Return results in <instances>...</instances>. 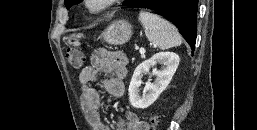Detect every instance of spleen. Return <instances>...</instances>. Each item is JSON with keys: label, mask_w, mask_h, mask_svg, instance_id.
I'll list each match as a JSON object with an SVG mask.
<instances>
[{"label": "spleen", "mask_w": 257, "mask_h": 130, "mask_svg": "<svg viewBox=\"0 0 257 130\" xmlns=\"http://www.w3.org/2000/svg\"><path fill=\"white\" fill-rule=\"evenodd\" d=\"M139 20L147 39L161 50L181 45L182 38L178 30L167 20L147 11L140 12Z\"/></svg>", "instance_id": "obj_1"}]
</instances>
